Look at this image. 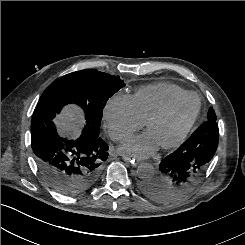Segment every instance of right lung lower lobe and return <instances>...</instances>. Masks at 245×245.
<instances>
[{"instance_id":"right-lung-lower-lobe-1","label":"right lung lower lobe","mask_w":245,"mask_h":245,"mask_svg":"<svg viewBox=\"0 0 245 245\" xmlns=\"http://www.w3.org/2000/svg\"><path fill=\"white\" fill-rule=\"evenodd\" d=\"M55 115L47 106L35 108L31 145L45 181L57 192L75 196L96 183L109 147L99 135L82 132L75 140L60 137L52 121Z\"/></svg>"}]
</instances>
